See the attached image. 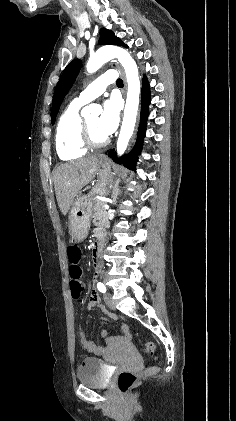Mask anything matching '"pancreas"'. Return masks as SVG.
<instances>
[{"label":"pancreas","instance_id":"obj_1","mask_svg":"<svg viewBox=\"0 0 236 421\" xmlns=\"http://www.w3.org/2000/svg\"><path fill=\"white\" fill-rule=\"evenodd\" d=\"M93 200L96 202L93 215L94 225H96V227H106V229H109L110 221L108 219L104 200H97V198H93Z\"/></svg>","mask_w":236,"mask_h":421}]
</instances>
